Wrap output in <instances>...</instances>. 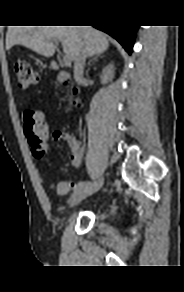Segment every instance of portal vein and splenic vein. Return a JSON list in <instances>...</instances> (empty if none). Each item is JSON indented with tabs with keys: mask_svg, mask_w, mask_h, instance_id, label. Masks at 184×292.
I'll list each match as a JSON object with an SVG mask.
<instances>
[{
	"mask_svg": "<svg viewBox=\"0 0 184 292\" xmlns=\"http://www.w3.org/2000/svg\"><path fill=\"white\" fill-rule=\"evenodd\" d=\"M63 61H64V64H65V65H67V64L70 63V58L68 57V55H65V56L63 57Z\"/></svg>",
	"mask_w": 184,
	"mask_h": 292,
	"instance_id": "1",
	"label": "portal vein and splenic vein"
}]
</instances>
